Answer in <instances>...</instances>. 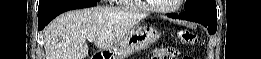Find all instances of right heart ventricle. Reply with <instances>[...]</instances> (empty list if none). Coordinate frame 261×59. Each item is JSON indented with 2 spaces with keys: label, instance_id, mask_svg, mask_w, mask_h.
<instances>
[{
  "label": "right heart ventricle",
  "instance_id": "obj_1",
  "mask_svg": "<svg viewBox=\"0 0 261 59\" xmlns=\"http://www.w3.org/2000/svg\"><path fill=\"white\" fill-rule=\"evenodd\" d=\"M116 2H118L119 4H122V5H126V6H131V7H135V8H138L140 10H144L143 8L141 7H138L136 4H135V1L133 0H116Z\"/></svg>",
  "mask_w": 261,
  "mask_h": 59
}]
</instances>
